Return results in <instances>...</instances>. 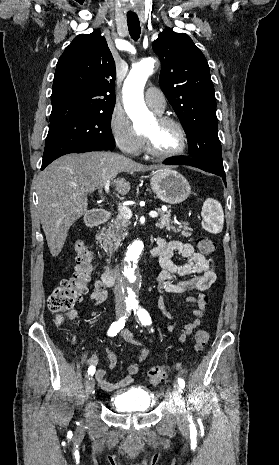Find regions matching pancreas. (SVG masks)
<instances>
[{
  "label": "pancreas",
  "mask_w": 279,
  "mask_h": 465,
  "mask_svg": "<svg viewBox=\"0 0 279 465\" xmlns=\"http://www.w3.org/2000/svg\"><path fill=\"white\" fill-rule=\"evenodd\" d=\"M159 214L160 218L158 219L156 226L160 229L165 228L167 231H172L174 233L180 232L181 235L184 237H189L191 235L190 231H192V229L188 226H179L177 228L175 227L174 222L170 218V211L163 212L159 210ZM129 224V219H126L119 214L115 219L111 221L107 228H103L100 234L101 247L105 251H109L110 254L113 251H116L127 234L126 229L129 226Z\"/></svg>",
  "instance_id": "obj_1"
}]
</instances>
